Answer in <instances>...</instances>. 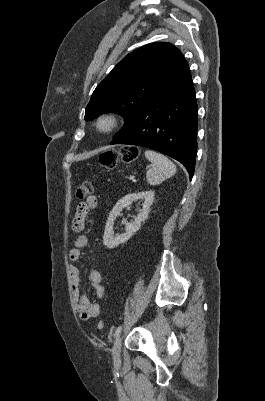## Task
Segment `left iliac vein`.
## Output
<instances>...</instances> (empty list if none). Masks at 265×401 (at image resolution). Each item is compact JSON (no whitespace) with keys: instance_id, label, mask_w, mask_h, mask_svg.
I'll use <instances>...</instances> for the list:
<instances>
[{"instance_id":"left-iliac-vein-1","label":"left iliac vein","mask_w":265,"mask_h":401,"mask_svg":"<svg viewBox=\"0 0 265 401\" xmlns=\"http://www.w3.org/2000/svg\"><path fill=\"white\" fill-rule=\"evenodd\" d=\"M121 345H122V337L119 336L115 340L114 346H113V360H114L115 363H119L120 362Z\"/></svg>"}]
</instances>
